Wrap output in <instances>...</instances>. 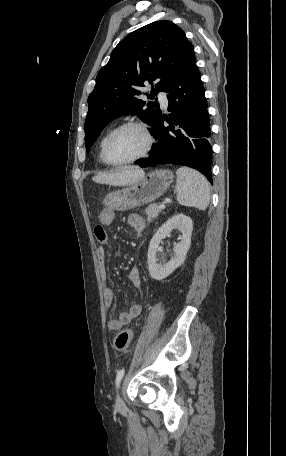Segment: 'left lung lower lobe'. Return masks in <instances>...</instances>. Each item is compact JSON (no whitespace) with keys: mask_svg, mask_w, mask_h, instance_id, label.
I'll list each match as a JSON object with an SVG mask.
<instances>
[{"mask_svg":"<svg viewBox=\"0 0 286 456\" xmlns=\"http://www.w3.org/2000/svg\"><path fill=\"white\" fill-rule=\"evenodd\" d=\"M169 118L160 115L151 131L158 143L140 167L178 164L194 168L212 183L210 120L196 59L167 87ZM166 120L170 125L165 127Z\"/></svg>","mask_w":286,"mask_h":456,"instance_id":"left-lung-lower-lobe-1","label":"left lung lower lobe"}]
</instances>
